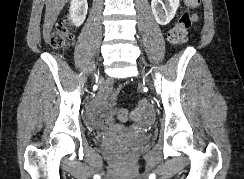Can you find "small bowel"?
Here are the masks:
<instances>
[{
	"mask_svg": "<svg viewBox=\"0 0 244 179\" xmlns=\"http://www.w3.org/2000/svg\"><path fill=\"white\" fill-rule=\"evenodd\" d=\"M116 95L114 92H109L105 98L98 103L97 109L93 111L96 116V122L101 126H109L112 124V110H117L115 108ZM153 110H144V114H135L133 116H141L142 120L137 121L140 125H144L154 120ZM119 116H127V115H118Z\"/></svg>",
	"mask_w": 244,
	"mask_h": 179,
	"instance_id": "1",
	"label": "small bowel"
}]
</instances>
